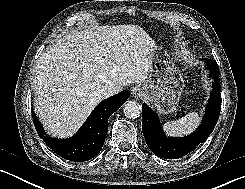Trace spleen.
<instances>
[{"label":"spleen","mask_w":245,"mask_h":189,"mask_svg":"<svg viewBox=\"0 0 245 189\" xmlns=\"http://www.w3.org/2000/svg\"><path fill=\"white\" fill-rule=\"evenodd\" d=\"M200 123L198 113L191 112L184 117L164 124L165 131L173 136H183L193 131Z\"/></svg>","instance_id":"spleen-1"}]
</instances>
